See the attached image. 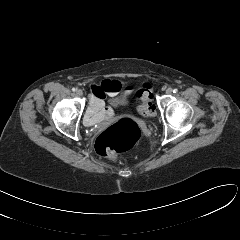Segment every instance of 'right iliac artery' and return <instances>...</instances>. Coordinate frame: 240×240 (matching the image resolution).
Returning a JSON list of instances; mask_svg holds the SVG:
<instances>
[{
  "label": "right iliac artery",
  "mask_w": 240,
  "mask_h": 240,
  "mask_svg": "<svg viewBox=\"0 0 240 240\" xmlns=\"http://www.w3.org/2000/svg\"><path fill=\"white\" fill-rule=\"evenodd\" d=\"M72 91H73V92H75V91H76V89H75V88H72Z\"/></svg>",
  "instance_id": "right-iliac-artery-1"
}]
</instances>
